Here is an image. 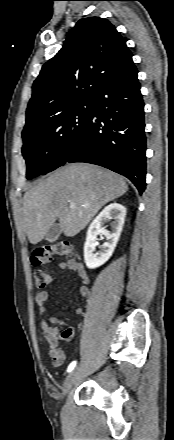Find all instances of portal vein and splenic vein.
<instances>
[{
    "mask_svg": "<svg viewBox=\"0 0 174 440\" xmlns=\"http://www.w3.org/2000/svg\"><path fill=\"white\" fill-rule=\"evenodd\" d=\"M70 207L71 208H74L75 207V203L74 202H70ZM83 207H86V206H88L87 204H84V205H82Z\"/></svg>",
    "mask_w": 174,
    "mask_h": 440,
    "instance_id": "obj_1",
    "label": "portal vein and splenic vein"
}]
</instances>
